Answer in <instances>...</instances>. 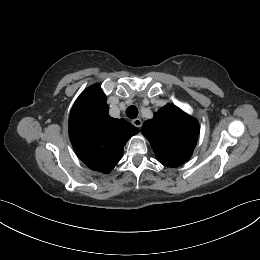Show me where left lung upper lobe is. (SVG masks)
<instances>
[{"mask_svg":"<svg viewBox=\"0 0 260 260\" xmlns=\"http://www.w3.org/2000/svg\"><path fill=\"white\" fill-rule=\"evenodd\" d=\"M141 132L162 165L177 167L191 157L199 136V123L168 103L144 122Z\"/></svg>","mask_w":260,"mask_h":260,"instance_id":"5c2ea615","label":"left lung upper lobe"}]
</instances>
